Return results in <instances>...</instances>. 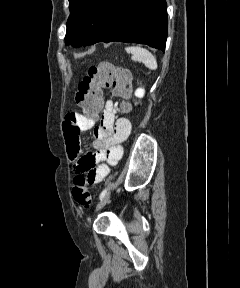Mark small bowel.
<instances>
[{
	"instance_id": "small-bowel-1",
	"label": "small bowel",
	"mask_w": 240,
	"mask_h": 288,
	"mask_svg": "<svg viewBox=\"0 0 240 288\" xmlns=\"http://www.w3.org/2000/svg\"><path fill=\"white\" fill-rule=\"evenodd\" d=\"M115 112L113 101L107 100L98 125L96 119L77 112L68 113L64 119L63 132L72 171L77 176L85 177L89 184L103 181L110 166H115L122 158L121 144L131 133V123L127 118H116ZM91 129L95 151L81 154L80 133Z\"/></svg>"
}]
</instances>
